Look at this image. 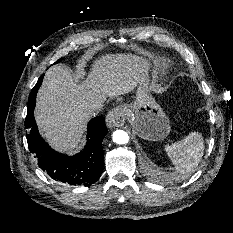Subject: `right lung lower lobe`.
<instances>
[{
  "instance_id": "right-lung-lower-lobe-1",
  "label": "right lung lower lobe",
  "mask_w": 233,
  "mask_h": 233,
  "mask_svg": "<svg viewBox=\"0 0 233 233\" xmlns=\"http://www.w3.org/2000/svg\"><path fill=\"white\" fill-rule=\"evenodd\" d=\"M43 77L44 75L38 79L28 100L25 127L28 129L29 150L38 159L39 167L52 179L69 185L89 186L99 179L103 170L102 140L108 132L104 117L98 116L88 123L87 143L80 153L66 156L54 151L39 135L33 115L37 91Z\"/></svg>"
}]
</instances>
